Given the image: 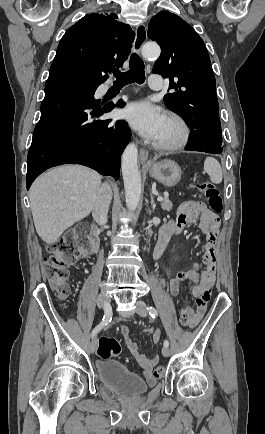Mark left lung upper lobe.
Here are the masks:
<instances>
[{"mask_svg": "<svg viewBox=\"0 0 265 434\" xmlns=\"http://www.w3.org/2000/svg\"><path fill=\"white\" fill-rule=\"evenodd\" d=\"M148 37L161 47L153 73L168 77L175 90L164 97L167 108L182 116L191 132L222 137L215 77L201 37L168 11L152 17Z\"/></svg>", "mask_w": 265, "mask_h": 434, "instance_id": "left-lung-upper-lobe-1", "label": "left lung upper lobe"}]
</instances>
